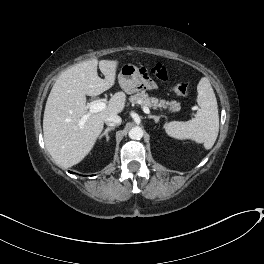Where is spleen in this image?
<instances>
[{
	"mask_svg": "<svg viewBox=\"0 0 264 264\" xmlns=\"http://www.w3.org/2000/svg\"><path fill=\"white\" fill-rule=\"evenodd\" d=\"M199 109L189 121H171L165 125L166 133L176 139H191L211 149L219 132L218 105L208 78L203 77L197 86Z\"/></svg>",
	"mask_w": 264,
	"mask_h": 264,
	"instance_id": "1",
	"label": "spleen"
}]
</instances>
